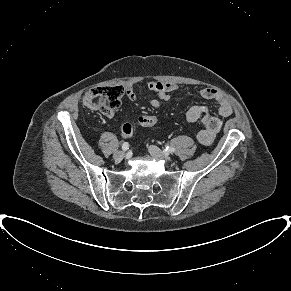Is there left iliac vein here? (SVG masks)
I'll return each mask as SVG.
<instances>
[{
  "label": "left iliac vein",
  "mask_w": 291,
  "mask_h": 291,
  "mask_svg": "<svg viewBox=\"0 0 291 291\" xmlns=\"http://www.w3.org/2000/svg\"><path fill=\"white\" fill-rule=\"evenodd\" d=\"M148 151L150 155L154 158H158L164 161H171V157L165 154L161 149H159L157 146L151 145L148 148Z\"/></svg>",
  "instance_id": "obj_1"
}]
</instances>
